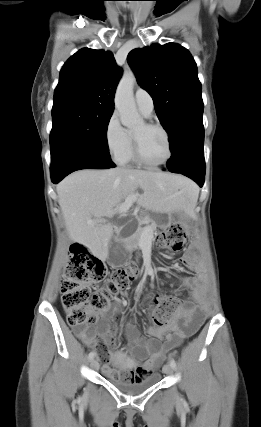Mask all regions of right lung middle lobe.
<instances>
[{
    "label": "right lung middle lobe",
    "instance_id": "1",
    "mask_svg": "<svg viewBox=\"0 0 261 427\" xmlns=\"http://www.w3.org/2000/svg\"><path fill=\"white\" fill-rule=\"evenodd\" d=\"M113 110L89 106L52 109L51 158L81 153L110 158L107 128Z\"/></svg>",
    "mask_w": 261,
    "mask_h": 427
}]
</instances>
